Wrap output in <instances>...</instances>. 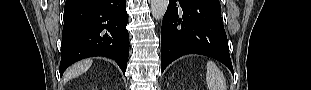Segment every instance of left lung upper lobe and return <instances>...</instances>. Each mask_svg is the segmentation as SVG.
<instances>
[{
	"mask_svg": "<svg viewBox=\"0 0 311 90\" xmlns=\"http://www.w3.org/2000/svg\"><path fill=\"white\" fill-rule=\"evenodd\" d=\"M213 1H215V2L219 3V0H213Z\"/></svg>",
	"mask_w": 311,
	"mask_h": 90,
	"instance_id": "1",
	"label": "left lung upper lobe"
}]
</instances>
